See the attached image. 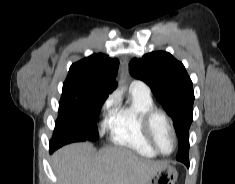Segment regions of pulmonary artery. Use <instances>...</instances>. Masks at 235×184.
Segmentation results:
<instances>
[{
	"label": "pulmonary artery",
	"mask_w": 235,
	"mask_h": 184,
	"mask_svg": "<svg viewBox=\"0 0 235 184\" xmlns=\"http://www.w3.org/2000/svg\"><path fill=\"white\" fill-rule=\"evenodd\" d=\"M130 90L136 95L143 96V97H151V89L143 81L133 80L130 84Z\"/></svg>",
	"instance_id": "1"
}]
</instances>
